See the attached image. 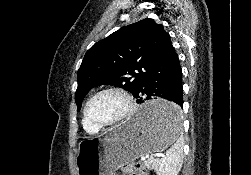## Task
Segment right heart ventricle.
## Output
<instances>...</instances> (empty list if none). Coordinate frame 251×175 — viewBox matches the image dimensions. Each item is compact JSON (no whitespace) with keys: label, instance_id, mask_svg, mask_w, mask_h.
Segmentation results:
<instances>
[{"label":"right heart ventricle","instance_id":"right-heart-ventricle-1","mask_svg":"<svg viewBox=\"0 0 251 175\" xmlns=\"http://www.w3.org/2000/svg\"><path fill=\"white\" fill-rule=\"evenodd\" d=\"M82 126H83V129L85 130V132L89 135H96L100 132V130L94 128L92 125H90L84 119H82Z\"/></svg>","mask_w":251,"mask_h":175}]
</instances>
